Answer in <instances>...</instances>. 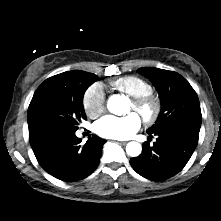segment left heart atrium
<instances>
[{"label": "left heart atrium", "mask_w": 221, "mask_h": 221, "mask_svg": "<svg viewBox=\"0 0 221 221\" xmlns=\"http://www.w3.org/2000/svg\"><path fill=\"white\" fill-rule=\"evenodd\" d=\"M141 120L136 113L118 117L107 115L95 123L98 135L110 139H127L133 136L140 128Z\"/></svg>", "instance_id": "obj_1"}]
</instances>
